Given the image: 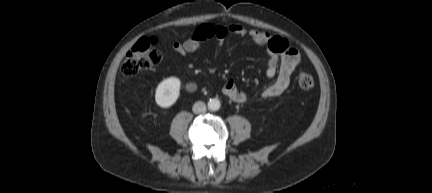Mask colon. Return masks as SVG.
<instances>
[{"label": "colon", "instance_id": "obj_1", "mask_svg": "<svg viewBox=\"0 0 432 193\" xmlns=\"http://www.w3.org/2000/svg\"><path fill=\"white\" fill-rule=\"evenodd\" d=\"M154 39L142 38L138 40L131 50L127 53L121 65V72L126 76H133L142 70L151 69L157 66L163 54L155 46ZM298 85L303 90H310L315 86L314 77L301 72L298 76Z\"/></svg>", "mask_w": 432, "mask_h": 193}]
</instances>
